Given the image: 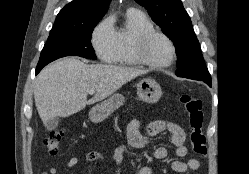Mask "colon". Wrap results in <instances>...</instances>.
<instances>
[{
    "label": "colon",
    "instance_id": "colon-1",
    "mask_svg": "<svg viewBox=\"0 0 249 174\" xmlns=\"http://www.w3.org/2000/svg\"><path fill=\"white\" fill-rule=\"evenodd\" d=\"M178 100L185 107L188 115L189 142L193 151L202 157L207 156L206 137L203 131V112L200 100L188 93H177ZM64 133L59 130L51 131L44 140V147L51 155H57L60 151V143Z\"/></svg>",
    "mask_w": 249,
    "mask_h": 174
}]
</instances>
